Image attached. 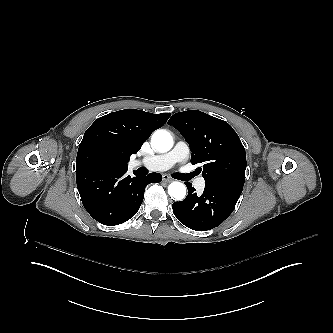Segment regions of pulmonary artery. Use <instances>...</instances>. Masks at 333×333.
<instances>
[{"label": "pulmonary artery", "instance_id": "e3ab8cb5", "mask_svg": "<svg viewBox=\"0 0 333 333\" xmlns=\"http://www.w3.org/2000/svg\"><path fill=\"white\" fill-rule=\"evenodd\" d=\"M182 144H184L183 141H178L174 148L172 150L166 151L164 156H162L161 158H146L144 160L145 169L148 171L157 169L161 171H166L168 169V165L171 162H173V165L177 163H185L189 158L190 148L187 145ZM137 164L138 160H135L131 163V166H136ZM200 179L195 180L193 183L194 188L197 190L202 189L204 186V183L202 181L203 176H201Z\"/></svg>", "mask_w": 333, "mask_h": 333}]
</instances>
